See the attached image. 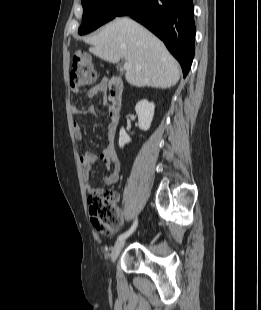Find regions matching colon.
I'll list each match as a JSON object with an SVG mask.
<instances>
[{
    "label": "colon",
    "instance_id": "obj_1",
    "mask_svg": "<svg viewBox=\"0 0 261 310\" xmlns=\"http://www.w3.org/2000/svg\"><path fill=\"white\" fill-rule=\"evenodd\" d=\"M98 79V72L86 54L73 57L70 70V85L73 89H81L94 85ZM117 193L108 190L102 194L91 195L88 198L91 221L95 229L103 234H113L120 225L117 210Z\"/></svg>",
    "mask_w": 261,
    "mask_h": 310
}]
</instances>
